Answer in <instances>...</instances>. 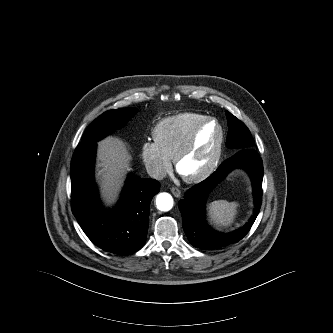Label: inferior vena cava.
I'll return each instance as SVG.
<instances>
[{"label": "inferior vena cava", "mask_w": 333, "mask_h": 333, "mask_svg": "<svg viewBox=\"0 0 333 333\" xmlns=\"http://www.w3.org/2000/svg\"><path fill=\"white\" fill-rule=\"evenodd\" d=\"M147 173L151 178L156 180H162L166 176L165 170L156 165L147 167Z\"/></svg>", "instance_id": "obj_1"}]
</instances>
